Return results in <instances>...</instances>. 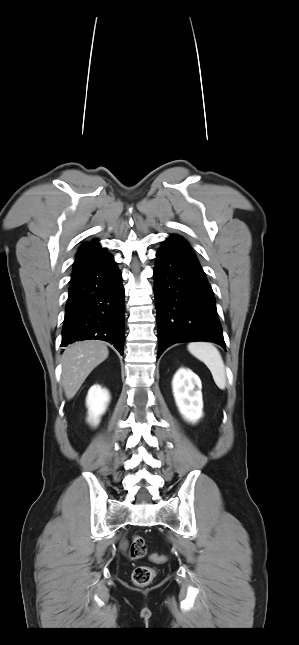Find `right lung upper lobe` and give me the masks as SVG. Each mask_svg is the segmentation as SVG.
Returning <instances> with one entry per match:
<instances>
[{"label":"right lung upper lobe","instance_id":"right-lung-upper-lobe-1","mask_svg":"<svg viewBox=\"0 0 299 645\" xmlns=\"http://www.w3.org/2000/svg\"><path fill=\"white\" fill-rule=\"evenodd\" d=\"M110 254L106 252L105 248H102L97 240L91 242H85L79 248L76 259L73 266V272L91 264L97 262Z\"/></svg>","mask_w":299,"mask_h":645}]
</instances>
